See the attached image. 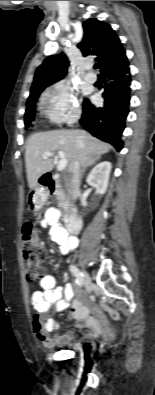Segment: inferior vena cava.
Masks as SVG:
<instances>
[{
    "mask_svg": "<svg viewBox=\"0 0 155 395\" xmlns=\"http://www.w3.org/2000/svg\"><path fill=\"white\" fill-rule=\"evenodd\" d=\"M80 178V163L76 161L72 168V177L70 181V194L72 198H75L79 194Z\"/></svg>",
    "mask_w": 155,
    "mask_h": 395,
    "instance_id": "obj_1",
    "label": "inferior vena cava"
}]
</instances>
